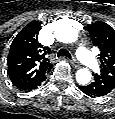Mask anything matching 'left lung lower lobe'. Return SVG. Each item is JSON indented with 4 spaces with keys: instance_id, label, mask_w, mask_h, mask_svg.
Returning a JSON list of instances; mask_svg holds the SVG:
<instances>
[{
    "instance_id": "left-lung-lower-lobe-1",
    "label": "left lung lower lobe",
    "mask_w": 115,
    "mask_h": 119,
    "mask_svg": "<svg viewBox=\"0 0 115 119\" xmlns=\"http://www.w3.org/2000/svg\"><path fill=\"white\" fill-rule=\"evenodd\" d=\"M115 89V81L109 77L96 74L92 83L80 86V90L90 97H102L110 94Z\"/></svg>"
}]
</instances>
